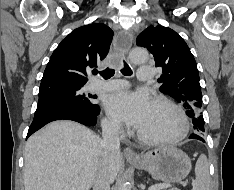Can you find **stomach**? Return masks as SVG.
<instances>
[{"mask_svg": "<svg viewBox=\"0 0 234 190\" xmlns=\"http://www.w3.org/2000/svg\"><path fill=\"white\" fill-rule=\"evenodd\" d=\"M129 161L162 182H179L187 177L191 170L188 155L175 146L158 147L141 154L139 161Z\"/></svg>", "mask_w": 234, "mask_h": 190, "instance_id": "0dacf381", "label": "stomach"}]
</instances>
